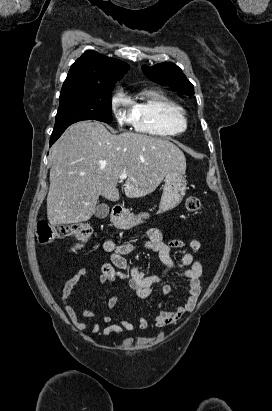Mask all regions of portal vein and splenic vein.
Instances as JSON below:
<instances>
[{"label":"portal vein and splenic vein","mask_w":272,"mask_h":411,"mask_svg":"<svg viewBox=\"0 0 272 411\" xmlns=\"http://www.w3.org/2000/svg\"><path fill=\"white\" fill-rule=\"evenodd\" d=\"M127 176H128L127 173H121V174L119 175V179L124 180V179L127 178Z\"/></svg>","instance_id":"obj_1"}]
</instances>
